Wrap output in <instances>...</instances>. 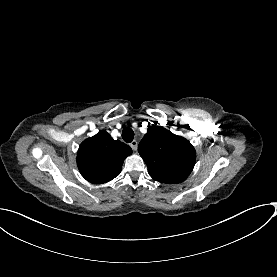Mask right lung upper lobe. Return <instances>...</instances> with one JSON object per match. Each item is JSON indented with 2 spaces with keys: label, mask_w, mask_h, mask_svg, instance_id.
Wrapping results in <instances>:
<instances>
[{
  "label": "right lung upper lobe",
  "mask_w": 277,
  "mask_h": 277,
  "mask_svg": "<svg viewBox=\"0 0 277 277\" xmlns=\"http://www.w3.org/2000/svg\"><path fill=\"white\" fill-rule=\"evenodd\" d=\"M131 153L128 145L114 140L106 131H100L82 142L77 154V165L89 182L106 183L119 175L123 161Z\"/></svg>",
  "instance_id": "1"
}]
</instances>
